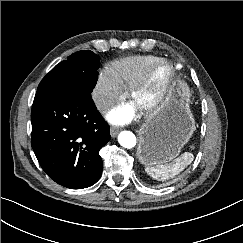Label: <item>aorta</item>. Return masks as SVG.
<instances>
[{
    "mask_svg": "<svg viewBox=\"0 0 243 243\" xmlns=\"http://www.w3.org/2000/svg\"><path fill=\"white\" fill-rule=\"evenodd\" d=\"M119 144L127 149H132L136 145V137L130 131H122L118 136Z\"/></svg>",
    "mask_w": 243,
    "mask_h": 243,
    "instance_id": "aorta-1",
    "label": "aorta"
}]
</instances>
